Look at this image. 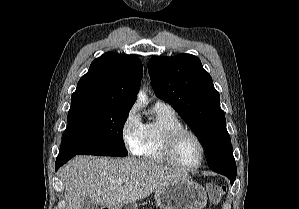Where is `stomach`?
I'll return each mask as SVG.
<instances>
[{"label": "stomach", "instance_id": "0dacf381", "mask_svg": "<svg viewBox=\"0 0 299 209\" xmlns=\"http://www.w3.org/2000/svg\"><path fill=\"white\" fill-rule=\"evenodd\" d=\"M154 198L160 209H203L207 204L205 189L189 177L157 189ZM108 209L122 208L119 206ZM123 209H137V206L126 204Z\"/></svg>", "mask_w": 299, "mask_h": 209}]
</instances>
